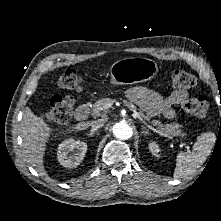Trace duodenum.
<instances>
[{
	"label": "duodenum",
	"instance_id": "1",
	"mask_svg": "<svg viewBox=\"0 0 221 221\" xmlns=\"http://www.w3.org/2000/svg\"><path fill=\"white\" fill-rule=\"evenodd\" d=\"M90 111H91V106L89 103H83L81 104L77 109H76V112H75V119L77 121H83L85 120L89 114H90Z\"/></svg>",
	"mask_w": 221,
	"mask_h": 221
}]
</instances>
